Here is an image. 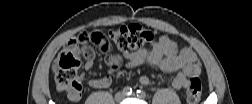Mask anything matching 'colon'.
Wrapping results in <instances>:
<instances>
[{
	"label": "colon",
	"instance_id": "obj_1",
	"mask_svg": "<svg viewBox=\"0 0 252 104\" xmlns=\"http://www.w3.org/2000/svg\"><path fill=\"white\" fill-rule=\"evenodd\" d=\"M152 33L140 24L123 25L105 34L101 30L81 32L70 40L59 53L53 64L54 79L59 91L67 96L76 97L82 90L81 66L83 59L94 57V47L102 53H108L112 45L121 51H132L141 48L152 40ZM201 82L197 78L189 80L186 99L189 103L199 102Z\"/></svg>",
	"mask_w": 252,
	"mask_h": 104
}]
</instances>
